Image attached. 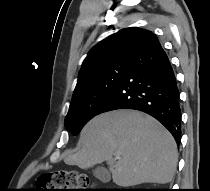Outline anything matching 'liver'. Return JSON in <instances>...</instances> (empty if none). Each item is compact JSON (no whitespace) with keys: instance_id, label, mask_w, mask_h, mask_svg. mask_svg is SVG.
<instances>
[{"instance_id":"liver-1","label":"liver","mask_w":210,"mask_h":191,"mask_svg":"<svg viewBox=\"0 0 210 191\" xmlns=\"http://www.w3.org/2000/svg\"><path fill=\"white\" fill-rule=\"evenodd\" d=\"M79 145L64 162L87 169L107 161L113 182L121 187L169 183L178 161L170 132L135 110H114L94 117L83 128ZM116 153L119 159L113 157Z\"/></svg>"}]
</instances>
